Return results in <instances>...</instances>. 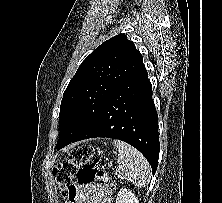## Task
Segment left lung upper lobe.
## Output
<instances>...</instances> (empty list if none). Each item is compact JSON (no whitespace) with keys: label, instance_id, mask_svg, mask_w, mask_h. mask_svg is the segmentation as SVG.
<instances>
[{"label":"left lung upper lobe","instance_id":"5c2ea615","mask_svg":"<svg viewBox=\"0 0 222 203\" xmlns=\"http://www.w3.org/2000/svg\"><path fill=\"white\" fill-rule=\"evenodd\" d=\"M142 59L134 43L119 34L103 42L81 63L61 101L57 148L71 143L86 128Z\"/></svg>","mask_w":222,"mask_h":203}]
</instances>
